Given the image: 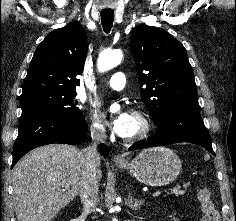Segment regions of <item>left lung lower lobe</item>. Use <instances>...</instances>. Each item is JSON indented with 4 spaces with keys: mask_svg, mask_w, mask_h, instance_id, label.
<instances>
[{
    "mask_svg": "<svg viewBox=\"0 0 236 221\" xmlns=\"http://www.w3.org/2000/svg\"><path fill=\"white\" fill-rule=\"evenodd\" d=\"M157 126L156 134L150 140L132 146L129 150L189 142L200 145L215 155L211 137L205 128L199 110L175 109L169 111Z\"/></svg>",
    "mask_w": 236,
    "mask_h": 221,
    "instance_id": "obj_1",
    "label": "left lung lower lobe"
}]
</instances>
